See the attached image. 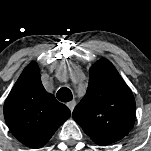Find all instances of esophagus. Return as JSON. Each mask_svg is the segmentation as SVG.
Here are the masks:
<instances>
[{
    "instance_id": "34e87169",
    "label": "esophagus",
    "mask_w": 151,
    "mask_h": 151,
    "mask_svg": "<svg viewBox=\"0 0 151 151\" xmlns=\"http://www.w3.org/2000/svg\"><path fill=\"white\" fill-rule=\"evenodd\" d=\"M67 106L71 111H73L74 107L76 106V101L75 100L70 101L69 103H67Z\"/></svg>"
}]
</instances>
